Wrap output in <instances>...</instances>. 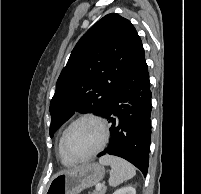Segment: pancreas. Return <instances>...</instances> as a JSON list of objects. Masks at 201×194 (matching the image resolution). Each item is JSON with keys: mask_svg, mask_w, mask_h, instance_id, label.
Wrapping results in <instances>:
<instances>
[{"mask_svg": "<svg viewBox=\"0 0 201 194\" xmlns=\"http://www.w3.org/2000/svg\"><path fill=\"white\" fill-rule=\"evenodd\" d=\"M105 192H106V187L103 186V187H101L100 190H96L92 194H105Z\"/></svg>", "mask_w": 201, "mask_h": 194, "instance_id": "pancreas-1", "label": "pancreas"}]
</instances>
